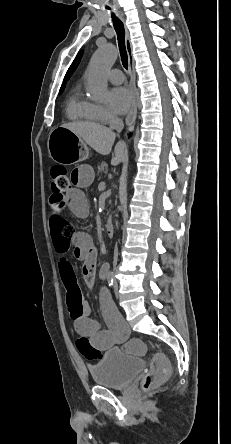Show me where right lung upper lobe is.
I'll return each instance as SVG.
<instances>
[{
    "label": "right lung upper lobe",
    "mask_w": 231,
    "mask_h": 444,
    "mask_svg": "<svg viewBox=\"0 0 231 444\" xmlns=\"http://www.w3.org/2000/svg\"><path fill=\"white\" fill-rule=\"evenodd\" d=\"M82 54H83V51L79 52L78 55L76 56V58L74 59L73 63H72L71 66L69 67V69H68V71H67V73H66V75H65V78H64V83L62 84L61 88H62V87H63V88L65 87V82L70 78V76L72 75V73H73V72L75 71V69L77 68V66H78V64H79V62H80V60H81Z\"/></svg>",
    "instance_id": "cb5924a9"
}]
</instances>
